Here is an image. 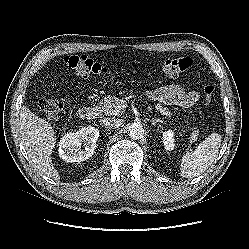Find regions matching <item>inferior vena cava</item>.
<instances>
[{"instance_id": "obj_1", "label": "inferior vena cava", "mask_w": 249, "mask_h": 249, "mask_svg": "<svg viewBox=\"0 0 249 249\" xmlns=\"http://www.w3.org/2000/svg\"><path fill=\"white\" fill-rule=\"evenodd\" d=\"M122 124L121 120H117L114 118H105L101 121V125L105 128L115 129L120 127Z\"/></svg>"}]
</instances>
